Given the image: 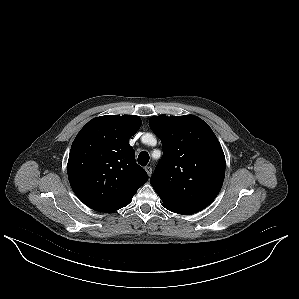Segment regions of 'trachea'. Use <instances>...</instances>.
<instances>
[{
	"label": "trachea",
	"instance_id": "3493384b",
	"mask_svg": "<svg viewBox=\"0 0 299 299\" xmlns=\"http://www.w3.org/2000/svg\"><path fill=\"white\" fill-rule=\"evenodd\" d=\"M148 162H149V154L146 151L141 152L138 156V163L140 165L145 166L148 164Z\"/></svg>",
	"mask_w": 299,
	"mask_h": 299
}]
</instances>
